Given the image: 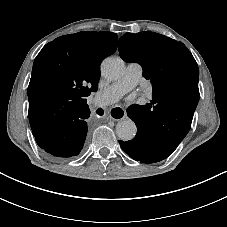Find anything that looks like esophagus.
<instances>
[{"label": "esophagus", "mask_w": 227, "mask_h": 227, "mask_svg": "<svg viewBox=\"0 0 227 227\" xmlns=\"http://www.w3.org/2000/svg\"><path fill=\"white\" fill-rule=\"evenodd\" d=\"M110 111H111L110 117L113 120H117V121L122 120L124 118V115H126V112H124L122 107L117 106V107L111 108ZM108 116H109V113H108Z\"/></svg>", "instance_id": "obj_1"}]
</instances>
